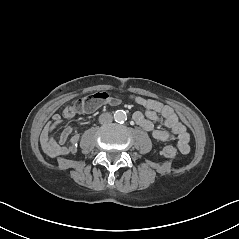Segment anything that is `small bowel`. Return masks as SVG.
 I'll return each instance as SVG.
<instances>
[{
  "label": "small bowel",
  "instance_id": "c3829d8e",
  "mask_svg": "<svg viewBox=\"0 0 239 239\" xmlns=\"http://www.w3.org/2000/svg\"><path fill=\"white\" fill-rule=\"evenodd\" d=\"M135 102L144 107L145 112H135L133 115L134 122L143 130L152 134L153 138L159 141L175 140L178 150L187 154L190 150V136L186 126L169 105H165L160 101L138 96ZM93 109H82L81 112H90ZM69 114L68 107L65 108L63 115L55 114L52 119L45 125L41 133V146L44 152L54 158L74 153L79 141V135L74 133L76 128L72 126L66 127L60 135L59 140H55L53 136L54 129L60 125L65 118L73 117ZM155 122L162 123L167 130L159 129L155 126Z\"/></svg>",
  "mask_w": 239,
  "mask_h": 239
}]
</instances>
